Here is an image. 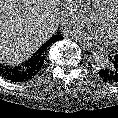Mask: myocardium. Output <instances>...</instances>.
<instances>
[{
  "label": "myocardium",
  "instance_id": "1",
  "mask_svg": "<svg viewBox=\"0 0 118 118\" xmlns=\"http://www.w3.org/2000/svg\"><path fill=\"white\" fill-rule=\"evenodd\" d=\"M116 3H118V0L110 1L105 8H103L98 14L95 15L94 19L99 20V19L109 16L112 13ZM111 44L113 47L118 48V42H112Z\"/></svg>",
  "mask_w": 118,
  "mask_h": 118
}]
</instances>
